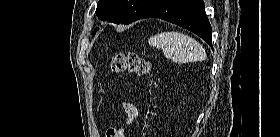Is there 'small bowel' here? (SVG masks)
<instances>
[{
  "label": "small bowel",
  "mask_w": 280,
  "mask_h": 137,
  "mask_svg": "<svg viewBox=\"0 0 280 137\" xmlns=\"http://www.w3.org/2000/svg\"><path fill=\"white\" fill-rule=\"evenodd\" d=\"M122 108L126 116V120H125L126 124L127 125L133 124L139 115V110L137 106L129 102H124L122 104Z\"/></svg>",
  "instance_id": "1"
}]
</instances>
